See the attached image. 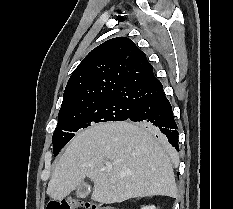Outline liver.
Masks as SVG:
<instances>
[{
	"label": "liver",
	"mask_w": 233,
	"mask_h": 209,
	"mask_svg": "<svg viewBox=\"0 0 233 209\" xmlns=\"http://www.w3.org/2000/svg\"><path fill=\"white\" fill-rule=\"evenodd\" d=\"M155 134L129 121L79 132L59 158L47 194L60 201L88 177L94 182L91 199L102 204L157 195L176 198L171 160Z\"/></svg>",
	"instance_id": "liver-1"
}]
</instances>
